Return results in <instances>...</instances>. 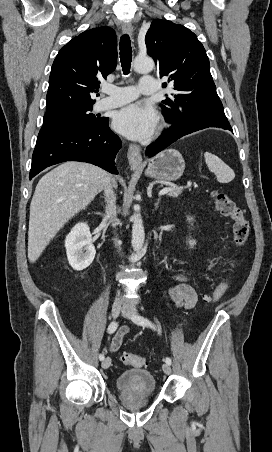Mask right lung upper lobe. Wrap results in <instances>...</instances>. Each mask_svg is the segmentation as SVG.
Masks as SVG:
<instances>
[{
  "instance_id": "1",
  "label": "right lung upper lobe",
  "mask_w": 272,
  "mask_h": 452,
  "mask_svg": "<svg viewBox=\"0 0 272 452\" xmlns=\"http://www.w3.org/2000/svg\"><path fill=\"white\" fill-rule=\"evenodd\" d=\"M116 64V35L109 27L90 29L74 37L53 62L46 114L93 105L91 93Z\"/></svg>"
}]
</instances>
